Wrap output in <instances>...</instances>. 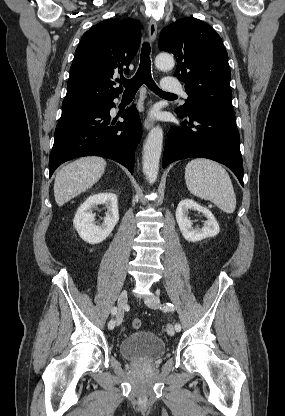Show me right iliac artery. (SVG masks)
Segmentation results:
<instances>
[{
  "instance_id": "obj_1",
  "label": "right iliac artery",
  "mask_w": 285,
  "mask_h": 416,
  "mask_svg": "<svg viewBox=\"0 0 285 416\" xmlns=\"http://www.w3.org/2000/svg\"><path fill=\"white\" fill-rule=\"evenodd\" d=\"M116 313H117V307L114 306L111 309V314L114 316V315H116ZM114 326H115V322L113 320H110V322L108 323V328L113 329Z\"/></svg>"
}]
</instances>
